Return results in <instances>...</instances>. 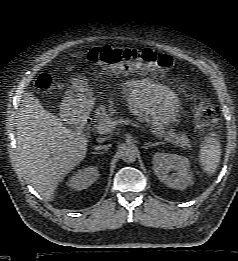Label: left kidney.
<instances>
[{
	"label": "left kidney",
	"mask_w": 238,
	"mask_h": 261,
	"mask_svg": "<svg viewBox=\"0 0 238 261\" xmlns=\"http://www.w3.org/2000/svg\"><path fill=\"white\" fill-rule=\"evenodd\" d=\"M152 160L154 174L168 187L183 190L193 183L188 158L157 152ZM170 171H175V173L169 175Z\"/></svg>",
	"instance_id": "5707ae66"
}]
</instances>
